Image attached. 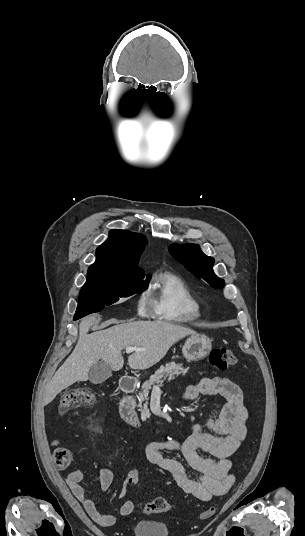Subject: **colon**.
Wrapping results in <instances>:
<instances>
[{
  "instance_id": "1",
  "label": "colon",
  "mask_w": 305,
  "mask_h": 536,
  "mask_svg": "<svg viewBox=\"0 0 305 536\" xmlns=\"http://www.w3.org/2000/svg\"><path fill=\"white\" fill-rule=\"evenodd\" d=\"M209 361L215 367L220 370H225L232 366L236 362V358L233 353L226 347H214L209 354ZM95 402V395L86 389H71L66 391L60 401L59 411L60 413H67L71 409L79 405H90ZM53 459L57 465H60L63 471H74L76 463L74 460L69 459V451L65 446H59L53 451ZM140 471L138 468L133 467L130 469L129 474L126 475L125 480L129 486H134L138 480ZM171 510L170 503L161 497H157L151 501H148L143 511L145 513H166ZM215 507H210L207 510L200 513L201 519H208L215 513Z\"/></svg>"
}]
</instances>
